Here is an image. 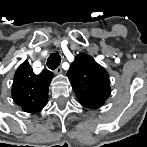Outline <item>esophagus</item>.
<instances>
[{
    "instance_id": "obj_1",
    "label": "esophagus",
    "mask_w": 147,
    "mask_h": 147,
    "mask_svg": "<svg viewBox=\"0 0 147 147\" xmlns=\"http://www.w3.org/2000/svg\"><path fill=\"white\" fill-rule=\"evenodd\" d=\"M54 73H55L56 75H60V74L62 73V68H61V67H58V68L54 71Z\"/></svg>"
}]
</instances>
